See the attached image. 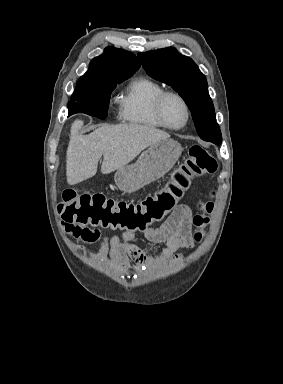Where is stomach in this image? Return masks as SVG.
I'll return each instance as SVG.
<instances>
[{
  "instance_id": "obj_1",
  "label": "stomach",
  "mask_w": 283,
  "mask_h": 384,
  "mask_svg": "<svg viewBox=\"0 0 283 384\" xmlns=\"http://www.w3.org/2000/svg\"><path fill=\"white\" fill-rule=\"evenodd\" d=\"M183 148L175 140H160L142 152L135 164L119 168L115 174L116 186L124 194H133L151 182L165 176L181 156Z\"/></svg>"
}]
</instances>
